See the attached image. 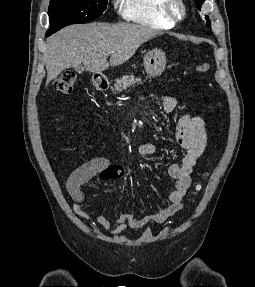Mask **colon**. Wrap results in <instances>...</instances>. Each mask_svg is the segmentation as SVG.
I'll use <instances>...</instances> for the list:
<instances>
[{"label": "colon", "mask_w": 255, "mask_h": 287, "mask_svg": "<svg viewBox=\"0 0 255 287\" xmlns=\"http://www.w3.org/2000/svg\"><path fill=\"white\" fill-rule=\"evenodd\" d=\"M198 73H206L210 70V65L203 62L197 65ZM75 73L72 71L63 72L54 82V89L63 94H70L74 89Z\"/></svg>", "instance_id": "colon-1"}]
</instances>
